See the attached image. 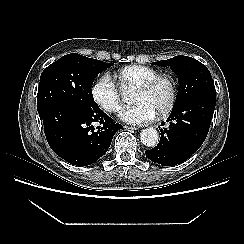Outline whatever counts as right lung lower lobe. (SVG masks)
I'll return each mask as SVG.
<instances>
[{
  "label": "right lung lower lobe",
  "mask_w": 244,
  "mask_h": 244,
  "mask_svg": "<svg viewBox=\"0 0 244 244\" xmlns=\"http://www.w3.org/2000/svg\"><path fill=\"white\" fill-rule=\"evenodd\" d=\"M49 146L65 161L87 166L102 157L122 127L97 106L55 104L39 114Z\"/></svg>",
  "instance_id": "right-lung-lower-lobe-1"
}]
</instances>
